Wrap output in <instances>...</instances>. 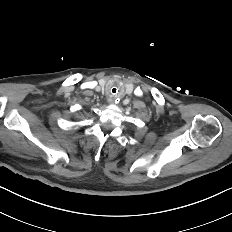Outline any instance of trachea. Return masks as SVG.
I'll return each mask as SVG.
<instances>
[{"label":"trachea","mask_w":232,"mask_h":232,"mask_svg":"<svg viewBox=\"0 0 232 232\" xmlns=\"http://www.w3.org/2000/svg\"><path fill=\"white\" fill-rule=\"evenodd\" d=\"M119 92H120V90L116 86L111 87L109 90V93L111 96H116Z\"/></svg>","instance_id":"trachea-1"}]
</instances>
